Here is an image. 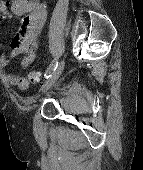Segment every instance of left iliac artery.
Here are the masks:
<instances>
[{
  "label": "left iliac artery",
  "mask_w": 143,
  "mask_h": 170,
  "mask_svg": "<svg viewBox=\"0 0 143 170\" xmlns=\"http://www.w3.org/2000/svg\"><path fill=\"white\" fill-rule=\"evenodd\" d=\"M57 66H58V61H57V59H54L52 61V63L50 64V66L48 67V69L46 70V73L44 76L46 78H49L52 75V73L54 72V70H56Z\"/></svg>",
  "instance_id": "obj_1"
}]
</instances>
